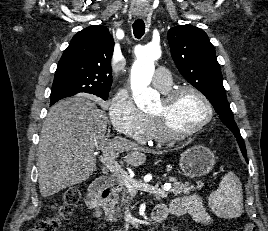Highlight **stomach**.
<instances>
[{"label": "stomach", "instance_id": "0dacf381", "mask_svg": "<svg viewBox=\"0 0 268 231\" xmlns=\"http://www.w3.org/2000/svg\"><path fill=\"white\" fill-rule=\"evenodd\" d=\"M214 153L204 146H193L180 156L179 168L186 177L197 178L208 174L215 164Z\"/></svg>", "mask_w": 268, "mask_h": 231}]
</instances>
